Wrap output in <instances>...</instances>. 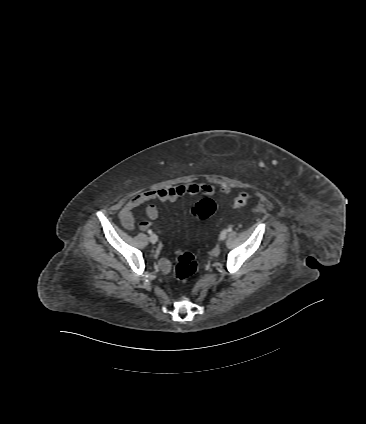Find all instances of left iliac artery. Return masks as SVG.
<instances>
[{
  "mask_svg": "<svg viewBox=\"0 0 366 424\" xmlns=\"http://www.w3.org/2000/svg\"><path fill=\"white\" fill-rule=\"evenodd\" d=\"M228 231H229V232H231V231H232V228H231V227H229V228H228Z\"/></svg>",
  "mask_w": 366,
  "mask_h": 424,
  "instance_id": "left-iliac-artery-1",
  "label": "left iliac artery"
}]
</instances>
